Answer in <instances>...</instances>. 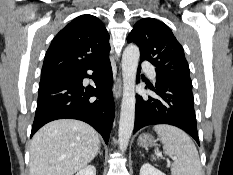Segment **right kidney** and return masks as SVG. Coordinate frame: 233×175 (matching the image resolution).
Masks as SVG:
<instances>
[{
  "label": "right kidney",
  "mask_w": 233,
  "mask_h": 175,
  "mask_svg": "<svg viewBox=\"0 0 233 175\" xmlns=\"http://www.w3.org/2000/svg\"><path fill=\"white\" fill-rule=\"evenodd\" d=\"M76 175H96V169L94 166L89 165L85 167L84 169L77 172Z\"/></svg>",
  "instance_id": "right-kidney-1"
}]
</instances>
